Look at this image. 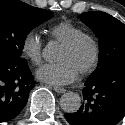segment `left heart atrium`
Returning a JSON list of instances; mask_svg holds the SVG:
<instances>
[{"mask_svg":"<svg viewBox=\"0 0 125 125\" xmlns=\"http://www.w3.org/2000/svg\"><path fill=\"white\" fill-rule=\"evenodd\" d=\"M77 76V70L66 60L45 64L36 71L39 80L55 85L69 84Z\"/></svg>","mask_w":125,"mask_h":125,"instance_id":"obj_1","label":"left heart atrium"}]
</instances>
